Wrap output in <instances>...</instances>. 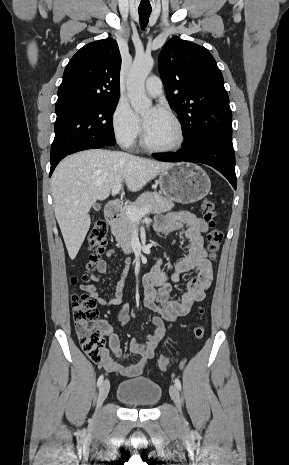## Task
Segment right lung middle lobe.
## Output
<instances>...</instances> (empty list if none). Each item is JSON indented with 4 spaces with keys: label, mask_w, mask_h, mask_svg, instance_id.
I'll list each match as a JSON object with an SVG mask.
<instances>
[{
    "label": "right lung middle lobe",
    "mask_w": 289,
    "mask_h": 465,
    "mask_svg": "<svg viewBox=\"0 0 289 465\" xmlns=\"http://www.w3.org/2000/svg\"><path fill=\"white\" fill-rule=\"evenodd\" d=\"M117 103L118 98L56 106L55 138L50 161L69 154L86 142L101 141L114 145L111 116Z\"/></svg>",
    "instance_id": "dd1d6c3e"
}]
</instances>
